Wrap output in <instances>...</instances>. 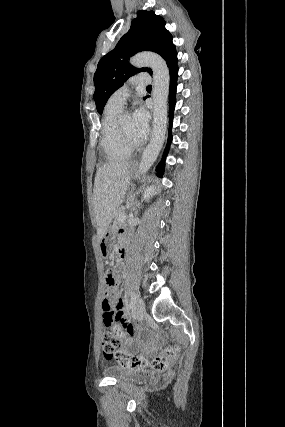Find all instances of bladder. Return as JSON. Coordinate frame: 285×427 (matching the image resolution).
Returning a JSON list of instances; mask_svg holds the SVG:
<instances>
[{"label": "bladder", "mask_w": 285, "mask_h": 427, "mask_svg": "<svg viewBox=\"0 0 285 427\" xmlns=\"http://www.w3.org/2000/svg\"><path fill=\"white\" fill-rule=\"evenodd\" d=\"M104 373L116 380H132V381H145L150 378L149 373L136 370L128 372L118 365H109L104 369Z\"/></svg>", "instance_id": "1"}]
</instances>
